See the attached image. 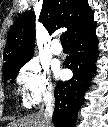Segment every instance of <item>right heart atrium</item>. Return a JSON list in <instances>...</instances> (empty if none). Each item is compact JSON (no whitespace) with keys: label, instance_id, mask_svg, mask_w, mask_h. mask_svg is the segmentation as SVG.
<instances>
[{"label":"right heart atrium","instance_id":"d8ad5b80","mask_svg":"<svg viewBox=\"0 0 108 127\" xmlns=\"http://www.w3.org/2000/svg\"><path fill=\"white\" fill-rule=\"evenodd\" d=\"M23 98L33 105L48 100L53 96V84L47 67L37 61H29L17 74Z\"/></svg>","mask_w":108,"mask_h":127}]
</instances>
